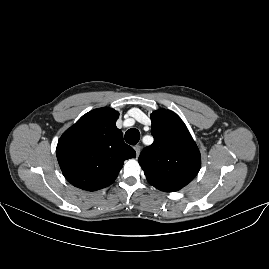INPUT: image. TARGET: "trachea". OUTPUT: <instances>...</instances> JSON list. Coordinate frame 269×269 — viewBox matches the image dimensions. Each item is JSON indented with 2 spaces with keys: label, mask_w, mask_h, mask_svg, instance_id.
<instances>
[{
  "label": "trachea",
  "mask_w": 269,
  "mask_h": 269,
  "mask_svg": "<svg viewBox=\"0 0 269 269\" xmlns=\"http://www.w3.org/2000/svg\"><path fill=\"white\" fill-rule=\"evenodd\" d=\"M140 133L137 129L131 128L125 134V141L130 145H136L139 141Z\"/></svg>",
  "instance_id": "1"
}]
</instances>
